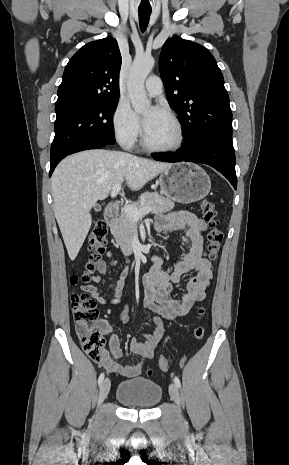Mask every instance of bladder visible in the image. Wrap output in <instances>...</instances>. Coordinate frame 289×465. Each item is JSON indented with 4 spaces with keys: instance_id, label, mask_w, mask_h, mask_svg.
Instances as JSON below:
<instances>
[{
    "instance_id": "bladder-1",
    "label": "bladder",
    "mask_w": 289,
    "mask_h": 465,
    "mask_svg": "<svg viewBox=\"0 0 289 465\" xmlns=\"http://www.w3.org/2000/svg\"><path fill=\"white\" fill-rule=\"evenodd\" d=\"M116 399L130 408L151 409L158 405L162 398V388L142 377H134L121 381L116 389Z\"/></svg>"
}]
</instances>
